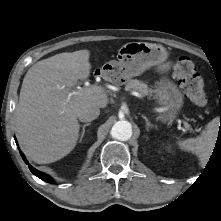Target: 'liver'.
Segmentation results:
<instances>
[{"instance_id":"liver-1","label":"liver","mask_w":221,"mask_h":221,"mask_svg":"<svg viewBox=\"0 0 221 221\" xmlns=\"http://www.w3.org/2000/svg\"><path fill=\"white\" fill-rule=\"evenodd\" d=\"M87 49L56 54L38 61L26 73L15 110L17 137L28 158L52 163L68 155L79 137V112L89 105L105 108V92L85 88L69 97L78 80L90 76Z\"/></svg>"}]
</instances>
